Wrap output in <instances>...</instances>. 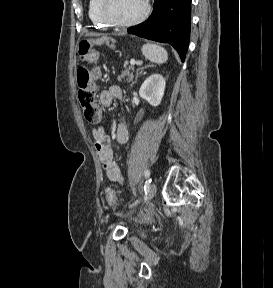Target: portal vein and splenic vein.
Listing matches in <instances>:
<instances>
[{
  "mask_svg": "<svg viewBox=\"0 0 273 288\" xmlns=\"http://www.w3.org/2000/svg\"><path fill=\"white\" fill-rule=\"evenodd\" d=\"M130 64H131V65H135V64H136V61H135V60H131V61H130Z\"/></svg>",
  "mask_w": 273,
  "mask_h": 288,
  "instance_id": "obj_1",
  "label": "portal vein and splenic vein"
}]
</instances>
